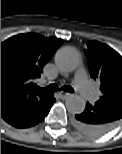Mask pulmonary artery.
<instances>
[{
	"mask_svg": "<svg viewBox=\"0 0 122 154\" xmlns=\"http://www.w3.org/2000/svg\"><path fill=\"white\" fill-rule=\"evenodd\" d=\"M74 85L80 91L85 99H94L96 94L87 81L86 74L83 70H77L74 76Z\"/></svg>",
	"mask_w": 122,
	"mask_h": 154,
	"instance_id": "pulmonary-artery-1",
	"label": "pulmonary artery"
}]
</instances>
